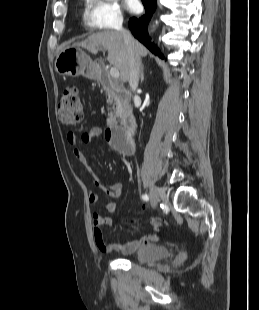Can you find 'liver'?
Masks as SVG:
<instances>
[{"instance_id": "6515ba94", "label": "liver", "mask_w": 259, "mask_h": 310, "mask_svg": "<svg viewBox=\"0 0 259 310\" xmlns=\"http://www.w3.org/2000/svg\"><path fill=\"white\" fill-rule=\"evenodd\" d=\"M74 46L86 48L91 53H97L99 48L107 50V59L119 70L121 80L123 82L129 80V52L122 34L118 31L93 33ZM135 50L140 57H145L148 54V50L138 41H135Z\"/></svg>"}]
</instances>
